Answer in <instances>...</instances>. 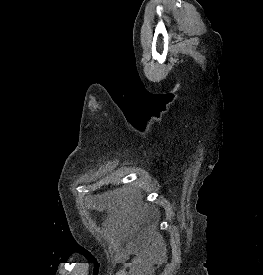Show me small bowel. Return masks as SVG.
<instances>
[{
	"label": "small bowel",
	"mask_w": 263,
	"mask_h": 275,
	"mask_svg": "<svg viewBox=\"0 0 263 275\" xmlns=\"http://www.w3.org/2000/svg\"><path fill=\"white\" fill-rule=\"evenodd\" d=\"M111 221H107L109 224ZM134 257L130 259V257ZM117 262L123 265L116 275H142L145 268V259L139 253V250L135 244H129L125 250L119 254Z\"/></svg>",
	"instance_id": "c3829d8e"
}]
</instances>
